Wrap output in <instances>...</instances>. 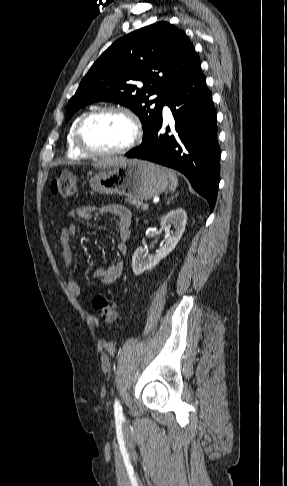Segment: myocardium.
<instances>
[{"label": "myocardium", "instance_id": "myocardium-1", "mask_svg": "<svg viewBox=\"0 0 287 486\" xmlns=\"http://www.w3.org/2000/svg\"><path fill=\"white\" fill-rule=\"evenodd\" d=\"M105 113H118L126 117L132 126L133 133L129 142L118 149L112 151H96L88 147L84 142L83 129L89 120ZM142 135H143V131H142L141 123L137 118V116L132 111L122 106L109 105V106L99 107L85 113L79 119L75 127L74 140L77 148L88 157L111 158V157L126 154L127 152L132 150L141 141Z\"/></svg>", "mask_w": 287, "mask_h": 486}]
</instances>
